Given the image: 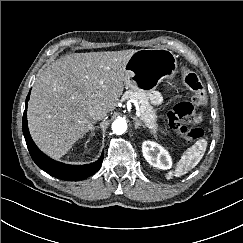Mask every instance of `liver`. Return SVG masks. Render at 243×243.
I'll return each mask as SVG.
<instances>
[{"label":"liver","mask_w":243,"mask_h":243,"mask_svg":"<svg viewBox=\"0 0 243 243\" xmlns=\"http://www.w3.org/2000/svg\"><path fill=\"white\" fill-rule=\"evenodd\" d=\"M135 52L74 53L38 73L27 114L31 136L44 153L61 158L87 133L91 108L111 112L118 106L125 66Z\"/></svg>","instance_id":"obj_1"}]
</instances>
